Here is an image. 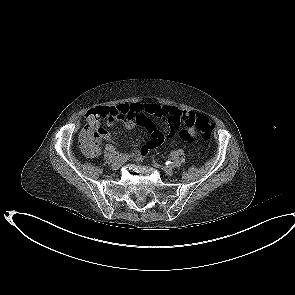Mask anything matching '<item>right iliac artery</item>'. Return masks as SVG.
I'll use <instances>...</instances> for the list:
<instances>
[{"label":"right iliac artery","mask_w":295,"mask_h":295,"mask_svg":"<svg viewBox=\"0 0 295 295\" xmlns=\"http://www.w3.org/2000/svg\"><path fill=\"white\" fill-rule=\"evenodd\" d=\"M127 157H128L127 155H121V154H120V155H118V156H115L114 160H115V161H120V160L122 161V160H126Z\"/></svg>","instance_id":"right-iliac-artery-1"}]
</instances>
